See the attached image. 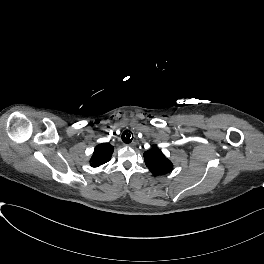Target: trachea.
Returning a JSON list of instances; mask_svg holds the SVG:
<instances>
[{"mask_svg":"<svg viewBox=\"0 0 264 264\" xmlns=\"http://www.w3.org/2000/svg\"><path fill=\"white\" fill-rule=\"evenodd\" d=\"M133 139V134L131 131L129 130H125L123 133H122V141L124 143H130Z\"/></svg>","mask_w":264,"mask_h":264,"instance_id":"1","label":"trachea"}]
</instances>
